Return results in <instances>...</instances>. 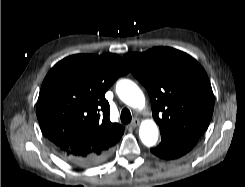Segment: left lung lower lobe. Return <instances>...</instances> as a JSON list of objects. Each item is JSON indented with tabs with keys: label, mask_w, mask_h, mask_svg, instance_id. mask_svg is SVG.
I'll return each instance as SVG.
<instances>
[{
	"label": "left lung lower lobe",
	"mask_w": 245,
	"mask_h": 187,
	"mask_svg": "<svg viewBox=\"0 0 245 187\" xmlns=\"http://www.w3.org/2000/svg\"><path fill=\"white\" fill-rule=\"evenodd\" d=\"M199 137L197 134H162L160 145L151 148V152L162 159H177L188 153L196 145Z\"/></svg>",
	"instance_id": "0a47b994"
}]
</instances>
